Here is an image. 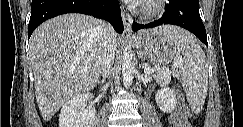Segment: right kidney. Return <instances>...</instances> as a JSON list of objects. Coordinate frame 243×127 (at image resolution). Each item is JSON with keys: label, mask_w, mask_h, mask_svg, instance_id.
<instances>
[{"label": "right kidney", "mask_w": 243, "mask_h": 127, "mask_svg": "<svg viewBox=\"0 0 243 127\" xmlns=\"http://www.w3.org/2000/svg\"><path fill=\"white\" fill-rule=\"evenodd\" d=\"M91 93H81L67 102L61 108L59 115L60 127H92L96 119V110Z\"/></svg>", "instance_id": "right-kidney-1"}]
</instances>
